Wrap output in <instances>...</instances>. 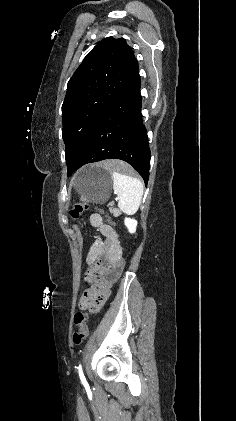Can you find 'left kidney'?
Returning <instances> with one entry per match:
<instances>
[{
    "label": "left kidney",
    "instance_id": "1",
    "mask_svg": "<svg viewBox=\"0 0 236 421\" xmlns=\"http://www.w3.org/2000/svg\"><path fill=\"white\" fill-rule=\"evenodd\" d=\"M129 233H135L136 227H137V221H134V219H125L124 221Z\"/></svg>",
    "mask_w": 236,
    "mask_h": 421
}]
</instances>
